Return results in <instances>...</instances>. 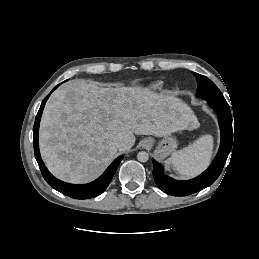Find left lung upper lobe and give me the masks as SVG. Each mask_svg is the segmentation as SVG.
<instances>
[{"label": "left lung upper lobe", "instance_id": "left-lung-upper-lobe-1", "mask_svg": "<svg viewBox=\"0 0 259 259\" xmlns=\"http://www.w3.org/2000/svg\"><path fill=\"white\" fill-rule=\"evenodd\" d=\"M198 88L196 91V96L202 99H210V100H223L225 99L218 89V87L207 77L200 75L198 73H194Z\"/></svg>", "mask_w": 259, "mask_h": 259}]
</instances>
